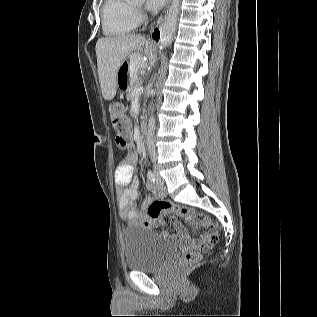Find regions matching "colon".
<instances>
[{"mask_svg":"<svg viewBox=\"0 0 317 317\" xmlns=\"http://www.w3.org/2000/svg\"><path fill=\"white\" fill-rule=\"evenodd\" d=\"M110 121L115 134V142L121 150H130L133 147V133L130 121L120 103H113L109 107ZM150 218L158 219L163 213H174L189 218L192 211L186 207L166 200L152 201L147 208ZM207 221L204 231L198 239L190 240L188 249L179 259L177 268L186 270L195 265L202 255L209 251L218 241V233L215 226L203 216H198Z\"/></svg>","mask_w":317,"mask_h":317,"instance_id":"obj_1","label":"colon"}]
</instances>
